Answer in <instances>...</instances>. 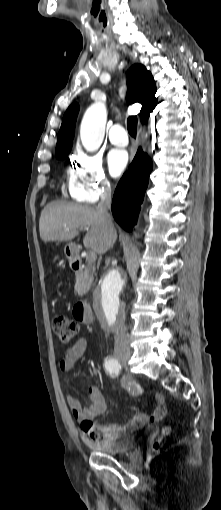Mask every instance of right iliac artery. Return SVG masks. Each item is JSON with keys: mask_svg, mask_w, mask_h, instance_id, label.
I'll use <instances>...</instances> for the list:
<instances>
[{"mask_svg": "<svg viewBox=\"0 0 221 510\" xmlns=\"http://www.w3.org/2000/svg\"><path fill=\"white\" fill-rule=\"evenodd\" d=\"M104 366H105L106 371L108 373H110L111 375H118L121 370L120 363L118 362L117 359H115L113 357L107 358L105 360Z\"/></svg>", "mask_w": 221, "mask_h": 510, "instance_id": "right-iliac-artery-1", "label": "right iliac artery"}]
</instances>
